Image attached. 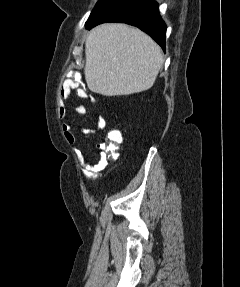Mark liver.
<instances>
[{
    "instance_id": "obj_1",
    "label": "liver",
    "mask_w": 240,
    "mask_h": 287,
    "mask_svg": "<svg viewBox=\"0 0 240 287\" xmlns=\"http://www.w3.org/2000/svg\"><path fill=\"white\" fill-rule=\"evenodd\" d=\"M88 88L104 96L150 89L163 65L161 48L141 30L125 24H102L85 43Z\"/></svg>"
}]
</instances>
